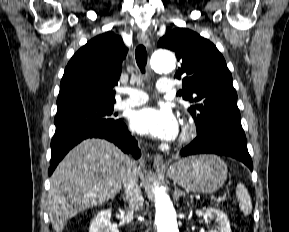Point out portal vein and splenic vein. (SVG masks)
Returning <instances> with one entry per match:
<instances>
[{
  "label": "portal vein and splenic vein",
  "instance_id": "1",
  "mask_svg": "<svg viewBox=\"0 0 289 232\" xmlns=\"http://www.w3.org/2000/svg\"><path fill=\"white\" fill-rule=\"evenodd\" d=\"M217 200H218V202H223V201L227 200V197H226V195L219 196Z\"/></svg>",
  "mask_w": 289,
  "mask_h": 232
}]
</instances>
